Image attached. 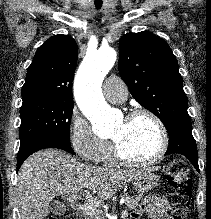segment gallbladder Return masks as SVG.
<instances>
[{"mask_svg":"<svg viewBox=\"0 0 211 219\" xmlns=\"http://www.w3.org/2000/svg\"><path fill=\"white\" fill-rule=\"evenodd\" d=\"M50 210L52 213H54L56 215H63L66 211V208L61 202L54 201L50 205Z\"/></svg>","mask_w":211,"mask_h":219,"instance_id":"gallbladder-1","label":"gallbladder"}]
</instances>
